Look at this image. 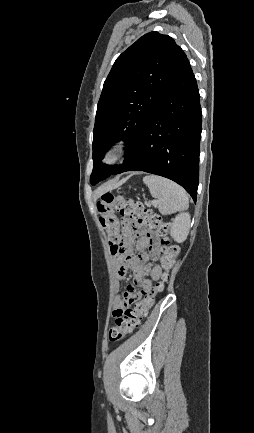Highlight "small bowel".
<instances>
[{
    "label": "small bowel",
    "mask_w": 254,
    "mask_h": 433,
    "mask_svg": "<svg viewBox=\"0 0 254 433\" xmlns=\"http://www.w3.org/2000/svg\"><path fill=\"white\" fill-rule=\"evenodd\" d=\"M136 237L138 239L135 242V247L139 251L138 256L133 253V243ZM147 248H149L148 253L146 252ZM159 250V243L153 234L145 233L142 229L132 230L128 233L126 254L115 256V263L118 279H124L129 270H132L134 280L127 286L122 297L115 301L114 311L122 307L129 296L139 301L153 293V282L160 279L162 270L158 265L147 264V261L149 259L156 260L159 256ZM147 274L150 275V279H143ZM137 286L140 287L139 291H136ZM116 287H118V282H116Z\"/></svg>",
    "instance_id": "small-bowel-1"
}]
</instances>
